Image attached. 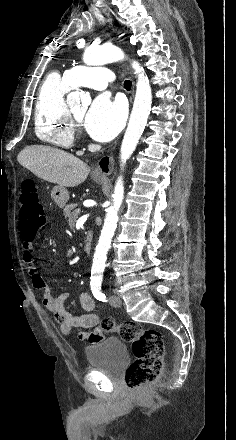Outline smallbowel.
<instances>
[{"label": "small bowel", "instance_id": "c3829d8e", "mask_svg": "<svg viewBox=\"0 0 236 440\" xmlns=\"http://www.w3.org/2000/svg\"><path fill=\"white\" fill-rule=\"evenodd\" d=\"M23 258L28 266L30 278L34 287L42 293L43 305L50 310L57 323L60 332L68 336H78L81 340L99 339L104 340L106 333L102 324H98L99 315L95 312V303L93 299L83 292L80 295L81 307L85 314L73 315L66 310L65 304L69 299V293H61L58 296H52L47 284L45 283L35 260V249L32 241L24 239L22 241Z\"/></svg>", "mask_w": 236, "mask_h": 440}]
</instances>
